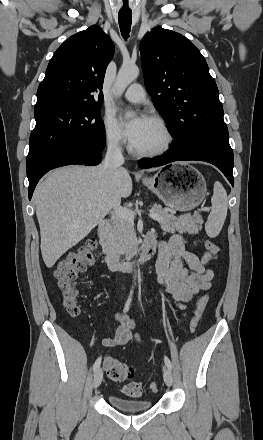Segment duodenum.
<instances>
[{
	"label": "duodenum",
	"mask_w": 263,
	"mask_h": 440,
	"mask_svg": "<svg viewBox=\"0 0 263 440\" xmlns=\"http://www.w3.org/2000/svg\"><path fill=\"white\" fill-rule=\"evenodd\" d=\"M110 222L107 220L100 221L97 226V244L101 249V253L105 264L115 271H131L135 266L142 265L148 261L156 251V243L152 238H145L138 257L133 262H124L113 252V248L109 241Z\"/></svg>",
	"instance_id": "1"
}]
</instances>
